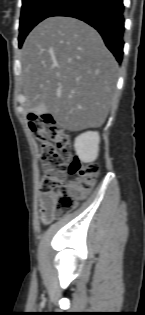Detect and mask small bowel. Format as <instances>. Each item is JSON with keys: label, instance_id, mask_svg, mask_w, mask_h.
Instances as JSON below:
<instances>
[{"label": "small bowel", "instance_id": "c3829d8e", "mask_svg": "<svg viewBox=\"0 0 145 315\" xmlns=\"http://www.w3.org/2000/svg\"><path fill=\"white\" fill-rule=\"evenodd\" d=\"M83 197V196H82ZM49 198L51 200L50 204H46V199ZM55 198V193H52L50 195H45L41 193L39 195V205H40V216L41 220L44 224L51 223L55 218V212L53 208V200Z\"/></svg>", "mask_w": 145, "mask_h": 315}]
</instances>
